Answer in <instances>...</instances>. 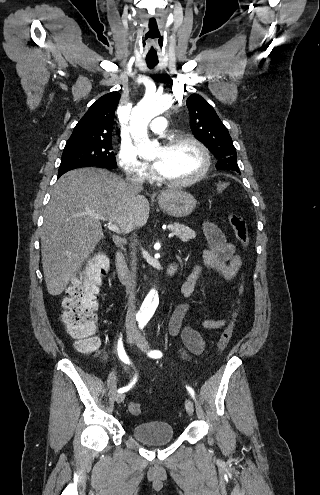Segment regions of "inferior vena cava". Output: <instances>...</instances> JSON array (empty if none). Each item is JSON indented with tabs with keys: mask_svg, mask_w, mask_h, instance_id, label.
I'll use <instances>...</instances> for the list:
<instances>
[{
	"mask_svg": "<svg viewBox=\"0 0 320 495\" xmlns=\"http://www.w3.org/2000/svg\"><path fill=\"white\" fill-rule=\"evenodd\" d=\"M142 184H143V179L137 175H129L126 178V185L128 187V190L132 194H138L142 190ZM134 238L136 234L134 233ZM133 251L131 252L132 254V261L130 262L131 264V271L129 274V279L130 283L127 289V294H128V310H127V329L131 332H137V325L135 323V315H136V307H135V300H136V293H135V288H136V272H137V259L135 256V245L132 243L131 245Z\"/></svg>",
	"mask_w": 320,
	"mask_h": 495,
	"instance_id": "obj_1",
	"label": "inferior vena cava"
}]
</instances>
